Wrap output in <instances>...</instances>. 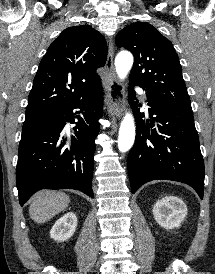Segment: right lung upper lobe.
<instances>
[{"label": "right lung upper lobe", "mask_w": 215, "mask_h": 274, "mask_svg": "<svg viewBox=\"0 0 215 274\" xmlns=\"http://www.w3.org/2000/svg\"><path fill=\"white\" fill-rule=\"evenodd\" d=\"M103 36L89 25L66 28L42 58L26 112L56 111L90 93L100 83L96 69L105 65Z\"/></svg>", "instance_id": "1"}]
</instances>
